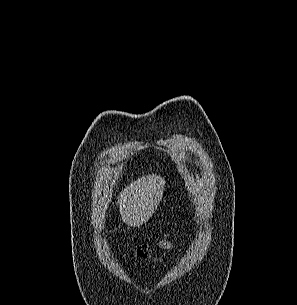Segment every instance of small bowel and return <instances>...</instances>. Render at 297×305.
<instances>
[{
    "mask_svg": "<svg viewBox=\"0 0 297 305\" xmlns=\"http://www.w3.org/2000/svg\"><path fill=\"white\" fill-rule=\"evenodd\" d=\"M158 246L161 249L168 250V249H171L173 247V241L170 237L164 236L163 238H161L158 241Z\"/></svg>",
    "mask_w": 297,
    "mask_h": 305,
    "instance_id": "c3829d8e",
    "label": "small bowel"
}]
</instances>
